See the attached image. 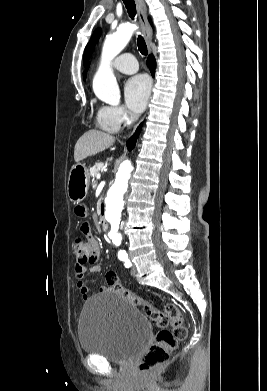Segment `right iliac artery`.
Segmentation results:
<instances>
[{"instance_id":"right-iliac-artery-1","label":"right iliac artery","mask_w":267,"mask_h":391,"mask_svg":"<svg viewBox=\"0 0 267 391\" xmlns=\"http://www.w3.org/2000/svg\"><path fill=\"white\" fill-rule=\"evenodd\" d=\"M123 261H125V266H126L127 268H129V267L131 266V263H130V261H129L128 258L123 259Z\"/></svg>"}]
</instances>
